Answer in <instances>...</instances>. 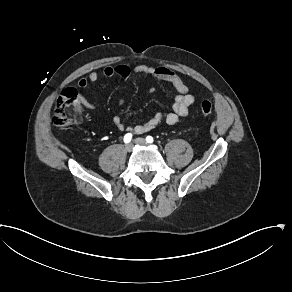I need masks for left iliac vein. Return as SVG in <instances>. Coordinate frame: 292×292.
<instances>
[{
    "instance_id": "left-iliac-vein-1",
    "label": "left iliac vein",
    "mask_w": 292,
    "mask_h": 292,
    "mask_svg": "<svg viewBox=\"0 0 292 292\" xmlns=\"http://www.w3.org/2000/svg\"><path fill=\"white\" fill-rule=\"evenodd\" d=\"M134 142H135L137 145H142V146L147 145L146 140L143 139V138H136V139L134 140Z\"/></svg>"
}]
</instances>
